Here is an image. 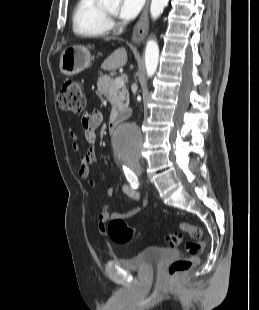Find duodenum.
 Listing matches in <instances>:
<instances>
[{
	"instance_id": "410a0bca",
	"label": "duodenum",
	"mask_w": 259,
	"mask_h": 310,
	"mask_svg": "<svg viewBox=\"0 0 259 310\" xmlns=\"http://www.w3.org/2000/svg\"><path fill=\"white\" fill-rule=\"evenodd\" d=\"M116 127H117V120L116 119H112L109 123V130H110V133L113 134L116 130Z\"/></svg>"
}]
</instances>
